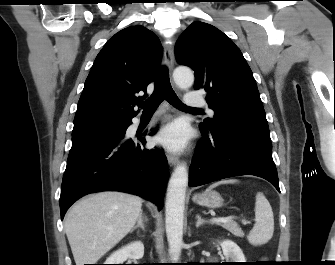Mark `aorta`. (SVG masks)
I'll list each match as a JSON object with an SVG mask.
<instances>
[{
    "label": "aorta",
    "mask_w": 335,
    "mask_h": 265,
    "mask_svg": "<svg viewBox=\"0 0 335 265\" xmlns=\"http://www.w3.org/2000/svg\"><path fill=\"white\" fill-rule=\"evenodd\" d=\"M175 83L187 89L194 83V74L187 67H177L173 73ZM188 171L185 163H180L173 171L168 183L165 202V224L169 251L174 258L181 254L183 246V220Z\"/></svg>",
    "instance_id": "1"
}]
</instances>
